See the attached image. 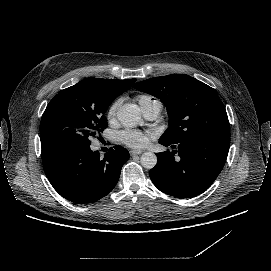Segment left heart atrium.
<instances>
[{
  "instance_id": "left-heart-atrium-1",
  "label": "left heart atrium",
  "mask_w": 271,
  "mask_h": 271,
  "mask_svg": "<svg viewBox=\"0 0 271 271\" xmlns=\"http://www.w3.org/2000/svg\"><path fill=\"white\" fill-rule=\"evenodd\" d=\"M118 139L131 148H142L149 141V135L140 130L126 129L118 133Z\"/></svg>"
}]
</instances>
